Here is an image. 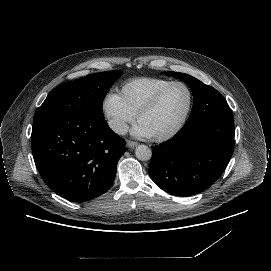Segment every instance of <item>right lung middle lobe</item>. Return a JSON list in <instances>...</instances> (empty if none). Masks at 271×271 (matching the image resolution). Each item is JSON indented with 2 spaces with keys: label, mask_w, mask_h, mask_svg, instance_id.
<instances>
[{
  "label": "right lung middle lobe",
  "mask_w": 271,
  "mask_h": 271,
  "mask_svg": "<svg viewBox=\"0 0 271 271\" xmlns=\"http://www.w3.org/2000/svg\"><path fill=\"white\" fill-rule=\"evenodd\" d=\"M122 74L121 71L95 73L58 86L36 110L33 122L51 115L104 119L103 100Z\"/></svg>",
  "instance_id": "obj_1"
}]
</instances>
